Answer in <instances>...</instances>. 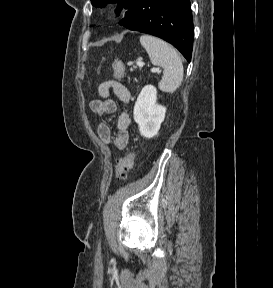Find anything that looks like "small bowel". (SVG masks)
Returning a JSON list of instances; mask_svg holds the SVG:
<instances>
[{
	"mask_svg": "<svg viewBox=\"0 0 273 288\" xmlns=\"http://www.w3.org/2000/svg\"><path fill=\"white\" fill-rule=\"evenodd\" d=\"M113 92L120 101L127 104L131 100V93L126 85L116 80H108L101 83L98 87L100 99H94L89 103L90 110L98 115L105 116L116 111V103L110 98ZM130 116L123 111L117 120L118 132L112 136L111 129L106 123H100L97 127L98 137L105 144H113L118 149H123L129 139Z\"/></svg>",
	"mask_w": 273,
	"mask_h": 288,
	"instance_id": "obj_1",
	"label": "small bowel"
}]
</instances>
